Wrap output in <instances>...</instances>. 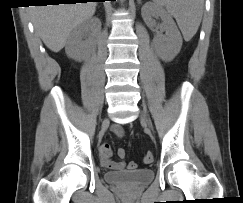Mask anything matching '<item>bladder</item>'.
<instances>
[{"mask_svg":"<svg viewBox=\"0 0 243 203\" xmlns=\"http://www.w3.org/2000/svg\"><path fill=\"white\" fill-rule=\"evenodd\" d=\"M104 180L109 184L139 186L150 183L154 179L152 169L108 171L104 173Z\"/></svg>","mask_w":243,"mask_h":203,"instance_id":"31cf9c89","label":"bladder"}]
</instances>
